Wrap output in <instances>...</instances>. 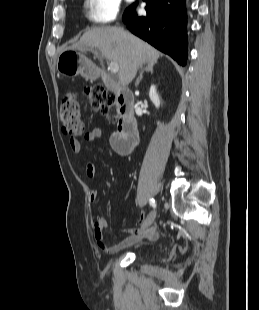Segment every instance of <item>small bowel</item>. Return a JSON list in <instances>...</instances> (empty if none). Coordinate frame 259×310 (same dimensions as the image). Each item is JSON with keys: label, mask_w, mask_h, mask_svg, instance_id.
Listing matches in <instances>:
<instances>
[{"label": "small bowel", "mask_w": 259, "mask_h": 310, "mask_svg": "<svg viewBox=\"0 0 259 310\" xmlns=\"http://www.w3.org/2000/svg\"><path fill=\"white\" fill-rule=\"evenodd\" d=\"M102 133H103L102 129L96 127L93 128L91 131L87 132L84 135L83 139L88 143H93L102 136ZM69 144L73 153L80 155L82 150L81 142L77 139L72 138L69 140ZM80 162L84 167L86 176L89 178H95L97 174L94 162L84 156L80 157ZM107 185L110 186V184ZM97 197H98L97 191L96 190L91 191L89 195L90 201L91 202L96 201ZM107 226L108 221L104 217H97L93 223V234L95 241L99 246V248L108 254H115L123 249L131 247L136 243H138L142 237H148L154 240L157 239L159 236V228L156 225L150 228L147 227L148 229L141 228L140 230L128 228L124 230V232L127 234V237L125 239H123L122 241L118 242L115 245L109 246L106 244L103 234L104 229L107 228Z\"/></svg>", "instance_id": "small-bowel-1"}]
</instances>
